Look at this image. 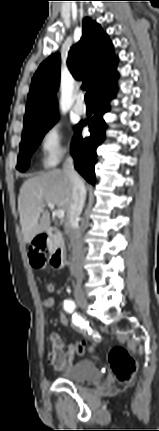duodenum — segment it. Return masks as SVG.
<instances>
[{
    "instance_id": "1",
    "label": "duodenum",
    "mask_w": 159,
    "mask_h": 431,
    "mask_svg": "<svg viewBox=\"0 0 159 431\" xmlns=\"http://www.w3.org/2000/svg\"><path fill=\"white\" fill-rule=\"evenodd\" d=\"M42 243L52 244L50 264L54 269H60L65 263V249L61 232L55 227H48L40 236Z\"/></svg>"
}]
</instances>
